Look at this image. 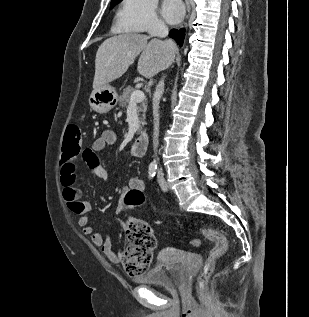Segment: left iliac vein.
<instances>
[{"label":"left iliac vein","mask_w":309,"mask_h":317,"mask_svg":"<svg viewBox=\"0 0 309 317\" xmlns=\"http://www.w3.org/2000/svg\"><path fill=\"white\" fill-rule=\"evenodd\" d=\"M158 183L163 191L168 190V185H167L166 180L162 174L158 175Z\"/></svg>","instance_id":"1"}]
</instances>
